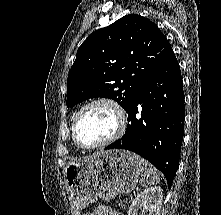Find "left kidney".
Segmentation results:
<instances>
[{
	"label": "left kidney",
	"instance_id": "obj_1",
	"mask_svg": "<svg viewBox=\"0 0 221 215\" xmlns=\"http://www.w3.org/2000/svg\"><path fill=\"white\" fill-rule=\"evenodd\" d=\"M162 206V189L160 186L147 188L132 201L128 215H138V210L144 209L148 215H160Z\"/></svg>",
	"mask_w": 221,
	"mask_h": 215
}]
</instances>
